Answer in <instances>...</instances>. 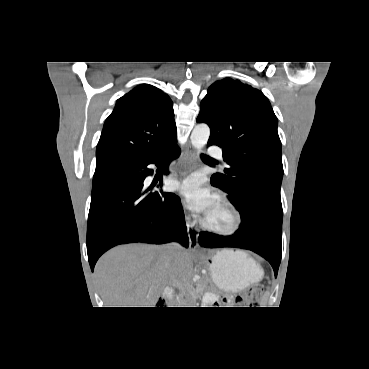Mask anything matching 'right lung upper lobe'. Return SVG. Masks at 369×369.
<instances>
[{
  "instance_id": "right-lung-upper-lobe-1",
  "label": "right lung upper lobe",
  "mask_w": 369,
  "mask_h": 369,
  "mask_svg": "<svg viewBox=\"0 0 369 369\" xmlns=\"http://www.w3.org/2000/svg\"><path fill=\"white\" fill-rule=\"evenodd\" d=\"M172 101L142 84L117 100L96 149V164L148 156L176 139Z\"/></svg>"
}]
</instances>
